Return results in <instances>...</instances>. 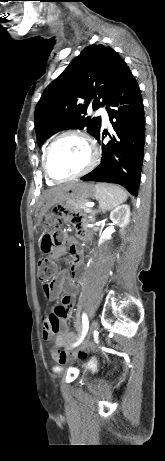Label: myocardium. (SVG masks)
Wrapping results in <instances>:
<instances>
[{
    "label": "myocardium",
    "instance_id": "1",
    "mask_svg": "<svg viewBox=\"0 0 165 461\" xmlns=\"http://www.w3.org/2000/svg\"><path fill=\"white\" fill-rule=\"evenodd\" d=\"M65 137H77L79 139H81L87 149H88V152H89V160H88V163L86 164V166L80 170L79 172L73 174V175H70V176H67V177H63V178H57V177H54L50 171H49V168H48V158H49V155H50V152L51 150L53 149V147L55 146V144L60 141L61 139L65 138ZM97 161H98V151H97V148L93 142V140L91 139V137L84 133V132H81V131H78V130H68V131H64L62 133H60L59 135H57L46 147L45 151H44V154H43V161H42V165H43V170H44V173H45V176L52 182H56V183H60V182H65V181H69V180H74V179H77V178H80L84 175H86L87 173H89L97 164Z\"/></svg>",
    "mask_w": 165,
    "mask_h": 461
}]
</instances>
